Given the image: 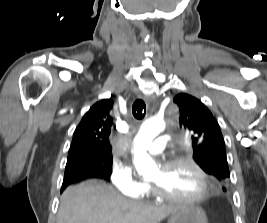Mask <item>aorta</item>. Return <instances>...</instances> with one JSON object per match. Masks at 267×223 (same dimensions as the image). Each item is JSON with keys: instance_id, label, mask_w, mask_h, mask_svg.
<instances>
[{"instance_id": "obj_1", "label": "aorta", "mask_w": 267, "mask_h": 223, "mask_svg": "<svg viewBox=\"0 0 267 223\" xmlns=\"http://www.w3.org/2000/svg\"><path fill=\"white\" fill-rule=\"evenodd\" d=\"M165 128L160 120L146 121L142 124L134 139V165L140 175L148 176L158 170L157 165L148 155L147 149L152 140Z\"/></svg>"}]
</instances>
